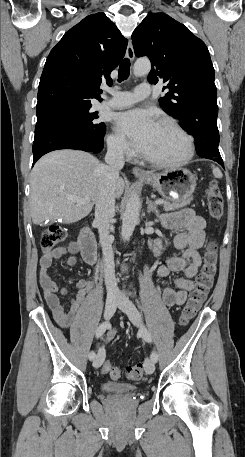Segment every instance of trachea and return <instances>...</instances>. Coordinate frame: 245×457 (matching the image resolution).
Returning <instances> with one entry per match:
<instances>
[{
    "instance_id": "obj_1",
    "label": "trachea",
    "mask_w": 245,
    "mask_h": 457,
    "mask_svg": "<svg viewBox=\"0 0 245 457\" xmlns=\"http://www.w3.org/2000/svg\"><path fill=\"white\" fill-rule=\"evenodd\" d=\"M130 73V61L128 58H125L122 60L119 66V71H118V81L122 82L123 80H126L129 77Z\"/></svg>"
}]
</instances>
